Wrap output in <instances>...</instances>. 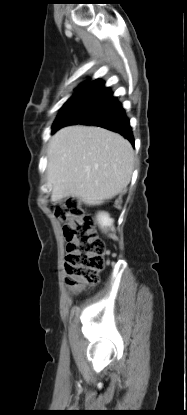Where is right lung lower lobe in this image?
Segmentation results:
<instances>
[{"mask_svg":"<svg viewBox=\"0 0 187 415\" xmlns=\"http://www.w3.org/2000/svg\"><path fill=\"white\" fill-rule=\"evenodd\" d=\"M76 124L96 125L117 132L134 146L132 129L122 104L100 79L80 86L61 109L53 124V132Z\"/></svg>","mask_w":187,"mask_h":415,"instance_id":"obj_1","label":"right lung lower lobe"}]
</instances>
